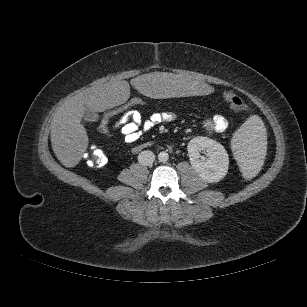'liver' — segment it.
<instances>
[{
	"mask_svg": "<svg viewBox=\"0 0 307 307\" xmlns=\"http://www.w3.org/2000/svg\"><path fill=\"white\" fill-rule=\"evenodd\" d=\"M134 89L152 98L188 97L197 93L200 96H212L217 86L212 81H197L185 74L154 72L139 74L131 81ZM130 95L129 83L117 81L92 87L67 100L56 111L51 121L50 138L52 149L65 167H74L88 147V136L81 124L87 108L95 112L123 104Z\"/></svg>",
	"mask_w": 307,
	"mask_h": 307,
	"instance_id": "obj_1",
	"label": "liver"
}]
</instances>
